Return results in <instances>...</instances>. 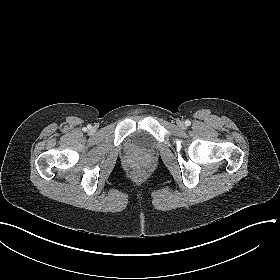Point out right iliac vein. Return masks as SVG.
Masks as SVG:
<instances>
[{"label":"right iliac vein","mask_w":280,"mask_h":280,"mask_svg":"<svg viewBox=\"0 0 280 280\" xmlns=\"http://www.w3.org/2000/svg\"><path fill=\"white\" fill-rule=\"evenodd\" d=\"M90 131L93 133V132H95V129H94V128H91Z\"/></svg>","instance_id":"1"}]
</instances>
